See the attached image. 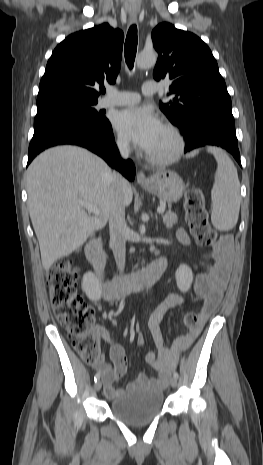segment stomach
I'll return each instance as SVG.
<instances>
[{
  "mask_svg": "<svg viewBox=\"0 0 263 465\" xmlns=\"http://www.w3.org/2000/svg\"><path fill=\"white\" fill-rule=\"evenodd\" d=\"M144 189L166 202L173 203L181 199L185 184L177 173L166 170L155 173L150 184L144 186Z\"/></svg>",
  "mask_w": 263,
  "mask_h": 465,
  "instance_id": "stomach-1",
  "label": "stomach"
}]
</instances>
